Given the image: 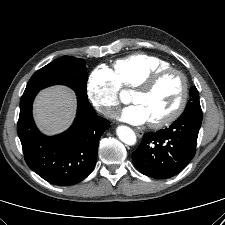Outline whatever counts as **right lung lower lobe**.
Segmentation results:
<instances>
[{
	"mask_svg": "<svg viewBox=\"0 0 225 225\" xmlns=\"http://www.w3.org/2000/svg\"><path fill=\"white\" fill-rule=\"evenodd\" d=\"M37 92L23 94L17 132L27 165L51 184L69 186L85 179L96 164L98 143L110 122L97 116L86 99L78 97L77 116L63 134L47 137L32 118Z\"/></svg>",
	"mask_w": 225,
	"mask_h": 225,
	"instance_id": "obj_1",
	"label": "right lung lower lobe"
}]
</instances>
